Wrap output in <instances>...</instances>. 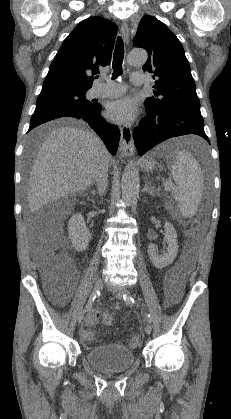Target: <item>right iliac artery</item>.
Returning a JSON list of instances; mask_svg holds the SVG:
<instances>
[{
  "label": "right iliac artery",
  "instance_id": "right-iliac-artery-1",
  "mask_svg": "<svg viewBox=\"0 0 231 419\" xmlns=\"http://www.w3.org/2000/svg\"><path fill=\"white\" fill-rule=\"evenodd\" d=\"M98 295H99V292H98V291H97V292H93V293L91 294V296H90V298H89V300H88V303H87V304H86V306H85L84 311H89V310L91 309L92 304H93V302H94L95 298H96Z\"/></svg>",
  "mask_w": 231,
  "mask_h": 419
}]
</instances>
